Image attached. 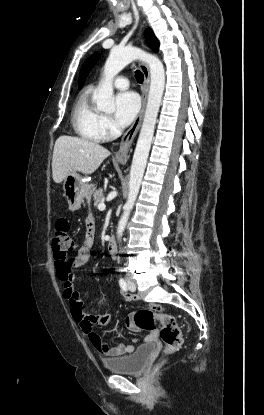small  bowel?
<instances>
[{
    "label": "small bowel",
    "mask_w": 264,
    "mask_h": 415,
    "mask_svg": "<svg viewBox=\"0 0 264 415\" xmlns=\"http://www.w3.org/2000/svg\"><path fill=\"white\" fill-rule=\"evenodd\" d=\"M95 235V219L90 217L86 220V241L79 247L77 254L69 259L58 260L55 256L57 267V276L63 284V298L67 302L71 316L78 323L81 331L91 340L97 350L106 358H116L132 353L135 350L133 344L118 343L110 345L102 341L94 331L95 323L106 326L111 321V313L109 307H105L99 314H90L84 308V304L80 297L79 291L75 289L72 279V271L83 268L91 258L92 248ZM125 300L131 302L134 297L124 294ZM126 325L132 332H139L141 328L133 323L132 315L126 318ZM156 331L151 330L150 334L144 339L145 342L154 340ZM133 342H138L133 339Z\"/></svg>",
    "instance_id": "small-bowel-1"
}]
</instances>
